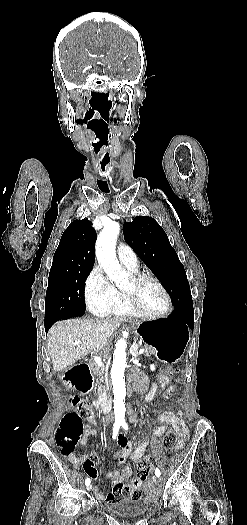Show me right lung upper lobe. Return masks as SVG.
I'll return each mask as SVG.
<instances>
[{"mask_svg":"<svg viewBox=\"0 0 247 525\" xmlns=\"http://www.w3.org/2000/svg\"><path fill=\"white\" fill-rule=\"evenodd\" d=\"M88 219L74 220L62 234L50 271L92 270L96 234Z\"/></svg>","mask_w":247,"mask_h":525,"instance_id":"obj_1","label":"right lung upper lobe"}]
</instances>
